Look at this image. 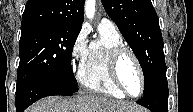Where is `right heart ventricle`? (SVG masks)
<instances>
[{
	"label": "right heart ventricle",
	"instance_id": "e07e8e85",
	"mask_svg": "<svg viewBox=\"0 0 193 112\" xmlns=\"http://www.w3.org/2000/svg\"><path fill=\"white\" fill-rule=\"evenodd\" d=\"M124 45L121 34L116 29L99 26V38L88 47L85 59L79 70L78 79L86 89L122 99L125 95L112 82L108 59L111 50Z\"/></svg>",
	"mask_w": 193,
	"mask_h": 112
}]
</instances>
